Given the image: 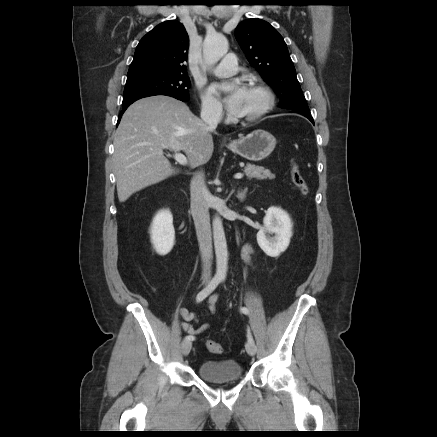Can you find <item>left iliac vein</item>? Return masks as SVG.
Returning a JSON list of instances; mask_svg holds the SVG:
<instances>
[{"instance_id": "1", "label": "left iliac vein", "mask_w": 437, "mask_h": 437, "mask_svg": "<svg viewBox=\"0 0 437 437\" xmlns=\"http://www.w3.org/2000/svg\"><path fill=\"white\" fill-rule=\"evenodd\" d=\"M246 351L249 355L254 356L256 354V346L254 342L248 340L245 345Z\"/></svg>"}]
</instances>
